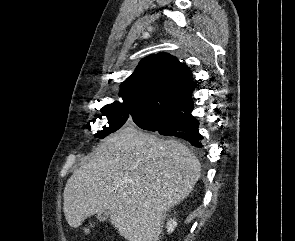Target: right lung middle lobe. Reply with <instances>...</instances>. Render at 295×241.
Returning a JSON list of instances; mask_svg holds the SVG:
<instances>
[{
	"label": "right lung middle lobe",
	"instance_id": "1",
	"mask_svg": "<svg viewBox=\"0 0 295 241\" xmlns=\"http://www.w3.org/2000/svg\"><path fill=\"white\" fill-rule=\"evenodd\" d=\"M103 116L107 117V126H104L102 130L98 131L95 137L104 138L109 134L119 130L125 124L133 122L140 128L146 127L166 114L160 111L146 109L139 105L124 102L120 103L115 101L112 104H108L101 109Z\"/></svg>",
	"mask_w": 295,
	"mask_h": 241
}]
</instances>
